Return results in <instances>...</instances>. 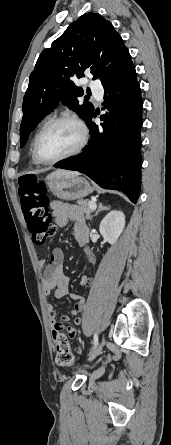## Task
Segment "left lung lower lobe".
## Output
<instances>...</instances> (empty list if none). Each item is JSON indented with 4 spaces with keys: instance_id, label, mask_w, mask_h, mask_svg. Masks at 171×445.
<instances>
[{
    "instance_id": "obj_1",
    "label": "left lung lower lobe",
    "mask_w": 171,
    "mask_h": 445,
    "mask_svg": "<svg viewBox=\"0 0 171 445\" xmlns=\"http://www.w3.org/2000/svg\"><path fill=\"white\" fill-rule=\"evenodd\" d=\"M108 113L101 127L87 121L91 140L83 152L55 167L79 171L105 189L120 190L136 203L141 184L142 99L133 63L103 84Z\"/></svg>"
}]
</instances>
